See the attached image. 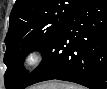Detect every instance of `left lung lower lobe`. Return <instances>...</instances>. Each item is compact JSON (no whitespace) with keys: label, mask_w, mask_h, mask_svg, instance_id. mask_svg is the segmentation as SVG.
<instances>
[{"label":"left lung lower lobe","mask_w":107,"mask_h":89,"mask_svg":"<svg viewBox=\"0 0 107 89\" xmlns=\"http://www.w3.org/2000/svg\"><path fill=\"white\" fill-rule=\"evenodd\" d=\"M41 64L14 89L58 79L107 87V0H84L42 52Z\"/></svg>","instance_id":"obj_1"}]
</instances>
